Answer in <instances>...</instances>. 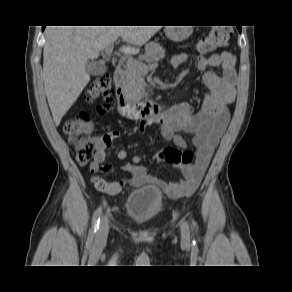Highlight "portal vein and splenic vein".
<instances>
[{
    "instance_id": "portal-vein-and-splenic-vein-1",
    "label": "portal vein and splenic vein",
    "mask_w": 292,
    "mask_h": 292,
    "mask_svg": "<svg viewBox=\"0 0 292 292\" xmlns=\"http://www.w3.org/2000/svg\"><path fill=\"white\" fill-rule=\"evenodd\" d=\"M112 51H113V45L108 46V47L105 49V54H106V56L109 57V56L111 55ZM132 62H133V60H132L131 58H128V60H127V64H131ZM157 67H158V63H157V61H154L153 63H150V64H148V65H145V64L140 65V69L143 70L145 73H146L148 70L155 69V68H157Z\"/></svg>"
}]
</instances>
